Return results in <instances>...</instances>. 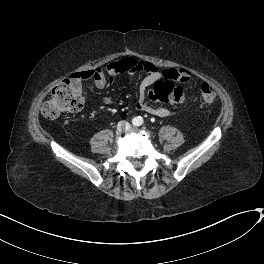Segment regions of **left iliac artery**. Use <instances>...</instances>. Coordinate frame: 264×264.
Listing matches in <instances>:
<instances>
[{
  "instance_id": "left-iliac-artery-1",
  "label": "left iliac artery",
  "mask_w": 264,
  "mask_h": 264,
  "mask_svg": "<svg viewBox=\"0 0 264 264\" xmlns=\"http://www.w3.org/2000/svg\"><path fill=\"white\" fill-rule=\"evenodd\" d=\"M143 122L140 120L137 122V126H140Z\"/></svg>"
}]
</instances>
